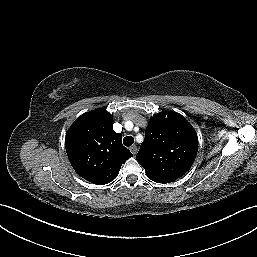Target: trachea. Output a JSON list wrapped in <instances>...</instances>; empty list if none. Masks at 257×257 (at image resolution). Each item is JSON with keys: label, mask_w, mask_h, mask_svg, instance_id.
<instances>
[{"label": "trachea", "mask_w": 257, "mask_h": 257, "mask_svg": "<svg viewBox=\"0 0 257 257\" xmlns=\"http://www.w3.org/2000/svg\"><path fill=\"white\" fill-rule=\"evenodd\" d=\"M134 143V138L132 136H126L123 139V144L127 147L131 146Z\"/></svg>", "instance_id": "obj_1"}]
</instances>
